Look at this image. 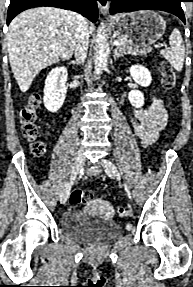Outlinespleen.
Instances as JSON below:
<instances>
[{
    "mask_svg": "<svg viewBox=\"0 0 193 287\" xmlns=\"http://www.w3.org/2000/svg\"><path fill=\"white\" fill-rule=\"evenodd\" d=\"M170 48L162 50L160 54L174 67L180 71L183 67L185 58V46L178 29H173L169 37Z\"/></svg>",
    "mask_w": 193,
    "mask_h": 287,
    "instance_id": "obj_1",
    "label": "spleen"
}]
</instances>
